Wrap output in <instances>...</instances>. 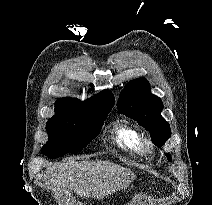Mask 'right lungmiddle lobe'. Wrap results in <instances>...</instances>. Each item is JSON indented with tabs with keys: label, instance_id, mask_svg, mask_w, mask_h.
I'll list each match as a JSON object with an SVG mask.
<instances>
[{
	"label": "right lung middle lobe",
	"instance_id": "obj_1",
	"mask_svg": "<svg viewBox=\"0 0 212 205\" xmlns=\"http://www.w3.org/2000/svg\"><path fill=\"white\" fill-rule=\"evenodd\" d=\"M111 109L112 106L74 109L50 118L46 124L49 141L42 152L56 158L81 151L99 134Z\"/></svg>",
	"mask_w": 212,
	"mask_h": 205
}]
</instances>
